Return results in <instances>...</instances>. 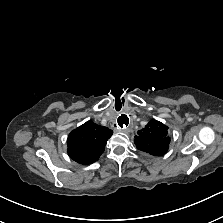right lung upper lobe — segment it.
<instances>
[{
	"instance_id": "obj_1",
	"label": "right lung upper lobe",
	"mask_w": 223,
	"mask_h": 223,
	"mask_svg": "<svg viewBox=\"0 0 223 223\" xmlns=\"http://www.w3.org/2000/svg\"><path fill=\"white\" fill-rule=\"evenodd\" d=\"M113 131L88 121L73 130L67 139L68 154L80 164H91L104 152Z\"/></svg>"
}]
</instances>
